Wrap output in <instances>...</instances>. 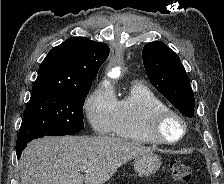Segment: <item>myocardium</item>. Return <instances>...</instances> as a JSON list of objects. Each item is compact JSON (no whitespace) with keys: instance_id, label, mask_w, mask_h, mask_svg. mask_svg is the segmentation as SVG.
<instances>
[{"instance_id":"1","label":"myocardium","mask_w":224,"mask_h":184,"mask_svg":"<svg viewBox=\"0 0 224 184\" xmlns=\"http://www.w3.org/2000/svg\"><path fill=\"white\" fill-rule=\"evenodd\" d=\"M169 120H175L181 126V134L176 138L167 137L163 131V126ZM147 129L149 136L155 143L166 145L179 143L187 133V125L184 118L176 111L167 107L152 111Z\"/></svg>"}]
</instances>
